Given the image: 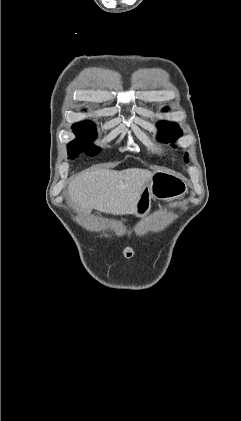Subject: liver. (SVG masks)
Instances as JSON below:
<instances>
[{
  "label": "liver",
  "instance_id": "liver-1",
  "mask_svg": "<svg viewBox=\"0 0 241 421\" xmlns=\"http://www.w3.org/2000/svg\"><path fill=\"white\" fill-rule=\"evenodd\" d=\"M150 177L151 172L146 169H94L70 182L68 196L76 208L85 213L95 208L114 215L133 214L137 199Z\"/></svg>",
  "mask_w": 241,
  "mask_h": 421
}]
</instances>
